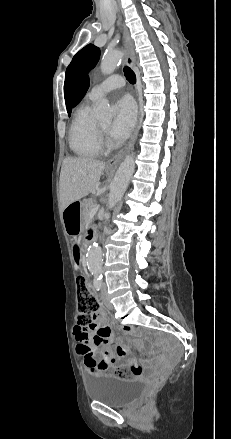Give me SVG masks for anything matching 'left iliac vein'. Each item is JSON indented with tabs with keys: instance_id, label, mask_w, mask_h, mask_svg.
Masks as SVG:
<instances>
[{
	"instance_id": "left-iliac-vein-1",
	"label": "left iliac vein",
	"mask_w": 231,
	"mask_h": 439,
	"mask_svg": "<svg viewBox=\"0 0 231 439\" xmlns=\"http://www.w3.org/2000/svg\"><path fill=\"white\" fill-rule=\"evenodd\" d=\"M101 295H102V299H103V302H104L105 306L108 309H113V305L111 304V302H110V300H109V298L107 296V286H106L105 282L102 283Z\"/></svg>"
}]
</instances>
